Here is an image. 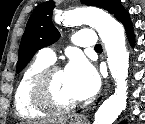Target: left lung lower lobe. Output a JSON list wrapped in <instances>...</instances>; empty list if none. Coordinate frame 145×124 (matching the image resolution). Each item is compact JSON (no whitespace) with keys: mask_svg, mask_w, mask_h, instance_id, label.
Segmentation results:
<instances>
[{"mask_svg":"<svg viewBox=\"0 0 145 124\" xmlns=\"http://www.w3.org/2000/svg\"><path fill=\"white\" fill-rule=\"evenodd\" d=\"M117 19L123 23V25L125 26L128 38L130 40V42L133 43V28H132V23L130 21L129 15L127 13L126 10H123L118 16Z\"/></svg>","mask_w":145,"mask_h":124,"instance_id":"left-lung-lower-lobe-1","label":"left lung lower lobe"}]
</instances>
